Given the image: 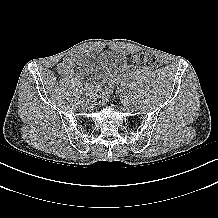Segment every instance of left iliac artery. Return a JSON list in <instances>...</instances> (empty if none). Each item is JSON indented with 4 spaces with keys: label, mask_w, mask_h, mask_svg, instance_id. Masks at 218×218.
<instances>
[{
    "label": "left iliac artery",
    "mask_w": 218,
    "mask_h": 218,
    "mask_svg": "<svg viewBox=\"0 0 218 218\" xmlns=\"http://www.w3.org/2000/svg\"><path fill=\"white\" fill-rule=\"evenodd\" d=\"M126 97L129 99V100H134L135 98H134V96L133 95H130L129 93L126 95Z\"/></svg>",
    "instance_id": "44dca946"
}]
</instances>
